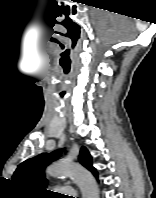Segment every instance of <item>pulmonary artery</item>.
I'll return each mask as SVG.
<instances>
[{
    "label": "pulmonary artery",
    "instance_id": "pulmonary-artery-1",
    "mask_svg": "<svg viewBox=\"0 0 156 198\" xmlns=\"http://www.w3.org/2000/svg\"><path fill=\"white\" fill-rule=\"evenodd\" d=\"M59 190H62L64 192H71L72 191V188L69 187V186H61L58 188Z\"/></svg>",
    "mask_w": 156,
    "mask_h": 198
}]
</instances>
